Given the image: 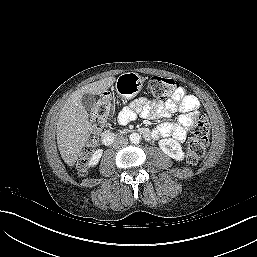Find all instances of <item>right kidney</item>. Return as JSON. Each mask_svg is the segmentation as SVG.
Here are the masks:
<instances>
[{"label": "right kidney", "instance_id": "ca27d5eb", "mask_svg": "<svg viewBox=\"0 0 257 257\" xmlns=\"http://www.w3.org/2000/svg\"><path fill=\"white\" fill-rule=\"evenodd\" d=\"M103 154V150L98 149L94 152V154L92 155V157L90 158L89 162H88V166L89 167H94L99 163V160L101 158Z\"/></svg>", "mask_w": 257, "mask_h": 257}]
</instances>
